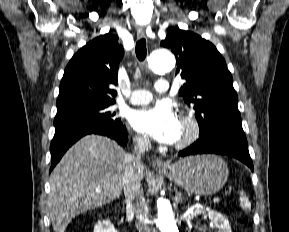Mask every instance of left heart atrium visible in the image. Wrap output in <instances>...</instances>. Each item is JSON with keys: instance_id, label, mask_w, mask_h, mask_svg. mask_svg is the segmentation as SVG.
<instances>
[{"instance_id": "39dd6f15", "label": "left heart atrium", "mask_w": 289, "mask_h": 232, "mask_svg": "<svg viewBox=\"0 0 289 232\" xmlns=\"http://www.w3.org/2000/svg\"><path fill=\"white\" fill-rule=\"evenodd\" d=\"M130 121L135 130L161 143L173 144L181 135V123L166 104L136 110Z\"/></svg>"}]
</instances>
